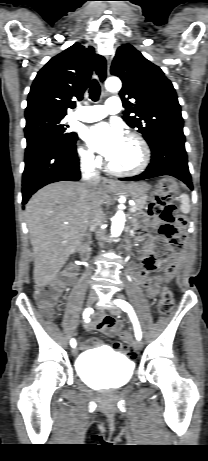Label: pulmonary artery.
<instances>
[{
  "label": "pulmonary artery",
  "mask_w": 208,
  "mask_h": 461,
  "mask_svg": "<svg viewBox=\"0 0 208 461\" xmlns=\"http://www.w3.org/2000/svg\"><path fill=\"white\" fill-rule=\"evenodd\" d=\"M121 110V101L117 97H110L104 105L85 106L79 109L74 118L84 122H94L104 118L107 114H115Z\"/></svg>",
  "instance_id": "1"
}]
</instances>
